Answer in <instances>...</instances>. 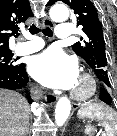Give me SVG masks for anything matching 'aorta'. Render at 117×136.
Returning <instances> with one entry per match:
<instances>
[{
    "label": "aorta",
    "instance_id": "762f6f07",
    "mask_svg": "<svg viewBox=\"0 0 117 136\" xmlns=\"http://www.w3.org/2000/svg\"><path fill=\"white\" fill-rule=\"evenodd\" d=\"M51 18L56 22L66 21L69 17V9L63 4L54 5L50 10ZM71 111V103L67 97H61L55 108V122L58 126L65 123Z\"/></svg>",
    "mask_w": 117,
    "mask_h": 136
}]
</instances>
